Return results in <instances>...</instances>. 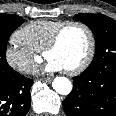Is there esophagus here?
I'll return each instance as SVG.
<instances>
[{
    "instance_id": "34e87169",
    "label": "esophagus",
    "mask_w": 116,
    "mask_h": 116,
    "mask_svg": "<svg viewBox=\"0 0 116 116\" xmlns=\"http://www.w3.org/2000/svg\"><path fill=\"white\" fill-rule=\"evenodd\" d=\"M52 79L50 77L42 78L41 81L43 82H50Z\"/></svg>"
}]
</instances>
